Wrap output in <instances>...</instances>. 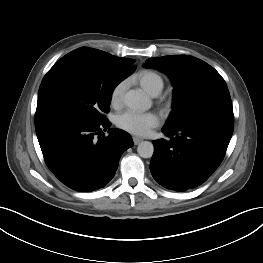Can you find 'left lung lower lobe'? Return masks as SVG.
I'll return each instance as SVG.
<instances>
[{"mask_svg": "<svg viewBox=\"0 0 263 263\" xmlns=\"http://www.w3.org/2000/svg\"><path fill=\"white\" fill-rule=\"evenodd\" d=\"M234 129V117L212 113L190 122L164 126L168 139L153 141L150 171L157 183L186 191L204 183L222 162Z\"/></svg>", "mask_w": 263, "mask_h": 263, "instance_id": "0a47b994", "label": "left lung lower lobe"}]
</instances>
